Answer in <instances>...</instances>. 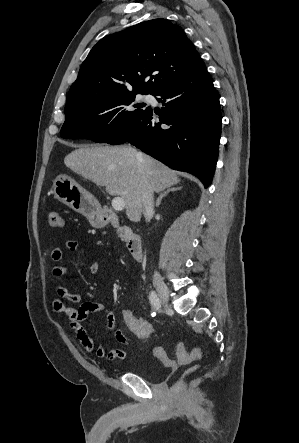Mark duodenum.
Masks as SVG:
<instances>
[{"mask_svg":"<svg viewBox=\"0 0 299 443\" xmlns=\"http://www.w3.org/2000/svg\"><path fill=\"white\" fill-rule=\"evenodd\" d=\"M100 218L103 224L122 229L119 219L113 211L102 208L100 212ZM125 243L131 256L135 260H141L143 256V248L140 237L134 233H126Z\"/></svg>","mask_w":299,"mask_h":443,"instance_id":"duodenum-1","label":"duodenum"}]
</instances>
